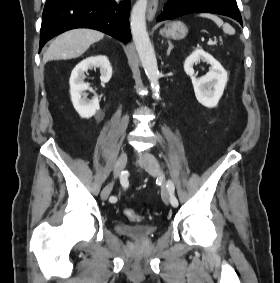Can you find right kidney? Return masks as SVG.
Returning a JSON list of instances; mask_svg holds the SVG:
<instances>
[{
    "mask_svg": "<svg viewBox=\"0 0 280 283\" xmlns=\"http://www.w3.org/2000/svg\"><path fill=\"white\" fill-rule=\"evenodd\" d=\"M100 69V80L109 82L112 77V67L108 58L104 55L88 57L75 66L70 76L71 101L75 110L82 118H90L100 109L98 96L87 99V90L94 92L88 83L84 82L85 72L92 68Z\"/></svg>",
    "mask_w": 280,
    "mask_h": 283,
    "instance_id": "ca27d5eb",
    "label": "right kidney"
}]
</instances>
